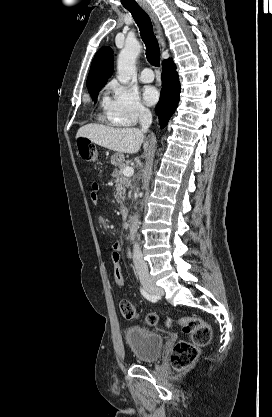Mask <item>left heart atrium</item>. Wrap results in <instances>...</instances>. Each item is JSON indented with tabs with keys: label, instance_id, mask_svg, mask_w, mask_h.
<instances>
[{
	"label": "left heart atrium",
	"instance_id": "39dd6f15",
	"mask_svg": "<svg viewBox=\"0 0 272 417\" xmlns=\"http://www.w3.org/2000/svg\"><path fill=\"white\" fill-rule=\"evenodd\" d=\"M143 96H144V100L147 104L153 105L159 99V92L155 87L147 86L144 89Z\"/></svg>",
	"mask_w": 272,
	"mask_h": 417
}]
</instances>
